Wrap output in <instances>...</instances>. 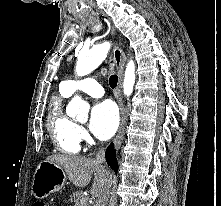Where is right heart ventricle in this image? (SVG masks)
I'll use <instances>...</instances> for the list:
<instances>
[{
    "instance_id": "1",
    "label": "right heart ventricle",
    "mask_w": 221,
    "mask_h": 206,
    "mask_svg": "<svg viewBox=\"0 0 221 206\" xmlns=\"http://www.w3.org/2000/svg\"><path fill=\"white\" fill-rule=\"evenodd\" d=\"M70 95L60 85L59 93L50 102L48 130L53 145L66 154H77L80 149L79 127L63 111V103Z\"/></svg>"
}]
</instances>
